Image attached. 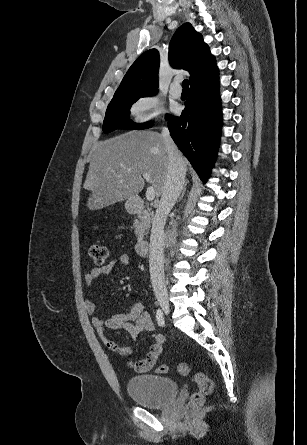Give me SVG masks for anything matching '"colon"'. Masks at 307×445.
Listing matches in <instances>:
<instances>
[{
    "label": "colon",
    "mask_w": 307,
    "mask_h": 445,
    "mask_svg": "<svg viewBox=\"0 0 307 445\" xmlns=\"http://www.w3.org/2000/svg\"><path fill=\"white\" fill-rule=\"evenodd\" d=\"M88 251L93 263L96 266H104L109 255V250L105 245L92 244L89 246ZM171 370H175L180 375H187L190 372V367L187 363L182 362L175 366L161 364L156 368L158 373H168ZM194 377L198 384V390L192 395L191 403L193 406H198L204 402L206 396L213 392L214 384L213 381L203 372H197Z\"/></svg>",
    "instance_id": "1"
}]
</instances>
